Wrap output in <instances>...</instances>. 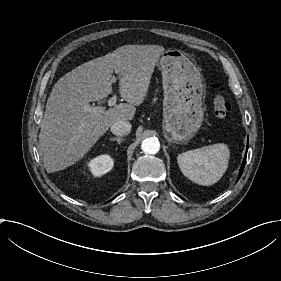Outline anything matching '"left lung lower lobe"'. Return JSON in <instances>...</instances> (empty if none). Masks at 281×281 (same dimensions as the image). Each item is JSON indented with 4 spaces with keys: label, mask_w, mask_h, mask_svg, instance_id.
I'll return each instance as SVG.
<instances>
[{
    "label": "left lung lower lobe",
    "mask_w": 281,
    "mask_h": 281,
    "mask_svg": "<svg viewBox=\"0 0 281 281\" xmlns=\"http://www.w3.org/2000/svg\"><path fill=\"white\" fill-rule=\"evenodd\" d=\"M247 149H248V145H247ZM246 156H247V150H246V153H245V157H244V160H243V163L241 165V169H240V172H239V177L238 179L241 177L242 175V172H243V169H244V166H245V162H246Z\"/></svg>",
    "instance_id": "left-lung-lower-lobe-1"
}]
</instances>
